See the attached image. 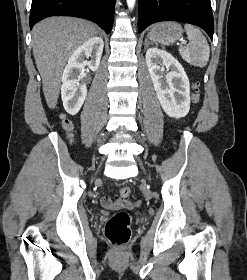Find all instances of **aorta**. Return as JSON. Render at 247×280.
<instances>
[{
  "instance_id": "762f6f07",
  "label": "aorta",
  "mask_w": 247,
  "mask_h": 280,
  "mask_svg": "<svg viewBox=\"0 0 247 280\" xmlns=\"http://www.w3.org/2000/svg\"><path fill=\"white\" fill-rule=\"evenodd\" d=\"M136 0H127V5L129 9H133Z\"/></svg>"
}]
</instances>
